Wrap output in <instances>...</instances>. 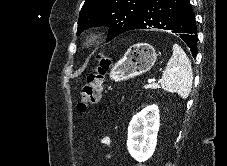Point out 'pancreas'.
<instances>
[{
	"mask_svg": "<svg viewBox=\"0 0 227 166\" xmlns=\"http://www.w3.org/2000/svg\"><path fill=\"white\" fill-rule=\"evenodd\" d=\"M144 88H145V89H157V88H159V86H158V85L155 86V85H153V84H149V85H145Z\"/></svg>",
	"mask_w": 227,
	"mask_h": 166,
	"instance_id": "pancreas-1",
	"label": "pancreas"
}]
</instances>
